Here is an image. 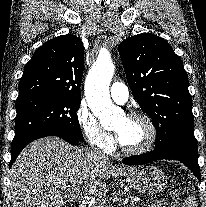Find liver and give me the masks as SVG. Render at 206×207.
I'll return each mask as SVG.
<instances>
[{
	"mask_svg": "<svg viewBox=\"0 0 206 207\" xmlns=\"http://www.w3.org/2000/svg\"><path fill=\"white\" fill-rule=\"evenodd\" d=\"M134 169L114 166L93 150L71 146L61 138L45 137L26 146L14 162L10 200L13 207H63L66 191L82 188L85 194L102 197L108 191L105 180Z\"/></svg>",
	"mask_w": 206,
	"mask_h": 207,
	"instance_id": "obj_1",
	"label": "liver"
}]
</instances>
